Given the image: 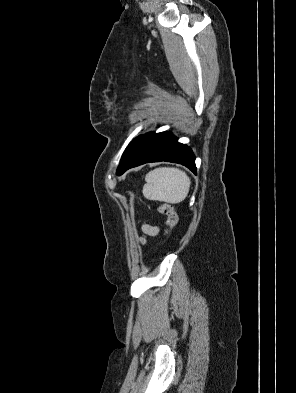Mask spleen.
I'll return each instance as SVG.
<instances>
[{
    "mask_svg": "<svg viewBox=\"0 0 296 393\" xmlns=\"http://www.w3.org/2000/svg\"><path fill=\"white\" fill-rule=\"evenodd\" d=\"M146 184L143 187V195L154 201H162L171 204L182 202L188 195L190 178L177 168H156L145 176Z\"/></svg>",
    "mask_w": 296,
    "mask_h": 393,
    "instance_id": "spleen-1",
    "label": "spleen"
}]
</instances>
